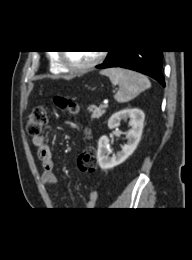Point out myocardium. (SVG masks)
<instances>
[{
	"mask_svg": "<svg viewBox=\"0 0 192 260\" xmlns=\"http://www.w3.org/2000/svg\"><path fill=\"white\" fill-rule=\"evenodd\" d=\"M103 59V55L102 54H98L92 61H90L87 64L84 65H73L71 63L68 62L67 58H66V53L65 52H60L59 54V60L60 63L62 64V66L64 68H66L67 70L71 71V72H85L88 71L90 69H92L93 67H95L96 65H98Z\"/></svg>",
	"mask_w": 192,
	"mask_h": 260,
	"instance_id": "obj_1",
	"label": "myocardium"
}]
</instances>
